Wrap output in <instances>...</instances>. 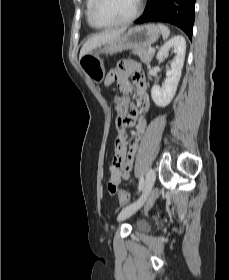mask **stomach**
I'll return each instance as SVG.
<instances>
[{
    "instance_id": "stomach-1",
    "label": "stomach",
    "mask_w": 229,
    "mask_h": 280,
    "mask_svg": "<svg viewBox=\"0 0 229 280\" xmlns=\"http://www.w3.org/2000/svg\"><path fill=\"white\" fill-rule=\"evenodd\" d=\"M159 35L160 29L154 24L132 27L120 37L84 55L79 65L87 77L95 82H101L105 77L102 55H112L128 49H146L158 40Z\"/></svg>"
}]
</instances>
